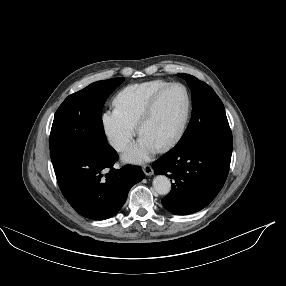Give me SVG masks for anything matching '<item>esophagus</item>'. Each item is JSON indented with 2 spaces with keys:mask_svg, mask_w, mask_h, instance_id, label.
I'll return each mask as SVG.
<instances>
[{
  "mask_svg": "<svg viewBox=\"0 0 286 286\" xmlns=\"http://www.w3.org/2000/svg\"><path fill=\"white\" fill-rule=\"evenodd\" d=\"M143 171L146 175L151 176L154 173V170L151 165L147 164L143 166Z\"/></svg>",
  "mask_w": 286,
  "mask_h": 286,
  "instance_id": "obj_1",
  "label": "esophagus"
}]
</instances>
